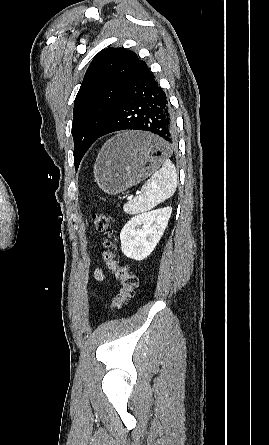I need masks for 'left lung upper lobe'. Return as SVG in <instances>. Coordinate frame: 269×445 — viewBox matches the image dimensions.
Returning a JSON list of instances; mask_svg holds the SVG:
<instances>
[{"label": "left lung upper lobe", "mask_w": 269, "mask_h": 445, "mask_svg": "<svg viewBox=\"0 0 269 445\" xmlns=\"http://www.w3.org/2000/svg\"><path fill=\"white\" fill-rule=\"evenodd\" d=\"M139 62L133 51L107 48L90 63L74 102L72 136L76 169L107 124Z\"/></svg>", "instance_id": "5c2ea615"}]
</instances>
